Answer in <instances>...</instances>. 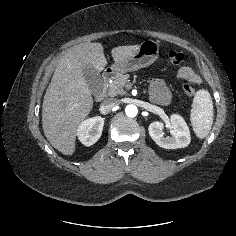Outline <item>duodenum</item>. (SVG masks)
I'll return each instance as SVG.
<instances>
[{"instance_id":"410a0bca","label":"duodenum","mask_w":236,"mask_h":236,"mask_svg":"<svg viewBox=\"0 0 236 236\" xmlns=\"http://www.w3.org/2000/svg\"><path fill=\"white\" fill-rule=\"evenodd\" d=\"M115 75L113 69H107L102 75V85L98 91L94 94V99L96 101H101L106 96L107 86L111 78Z\"/></svg>"}]
</instances>
